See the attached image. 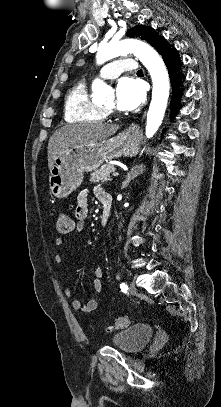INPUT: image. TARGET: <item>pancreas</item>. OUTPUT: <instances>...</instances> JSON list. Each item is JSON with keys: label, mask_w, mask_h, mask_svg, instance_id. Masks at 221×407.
Here are the masks:
<instances>
[{"label": "pancreas", "mask_w": 221, "mask_h": 407, "mask_svg": "<svg viewBox=\"0 0 221 407\" xmlns=\"http://www.w3.org/2000/svg\"><path fill=\"white\" fill-rule=\"evenodd\" d=\"M114 171L115 167L113 165L103 166L90 175L89 181L93 183L110 181V174Z\"/></svg>", "instance_id": "cf45deb5"}]
</instances>
